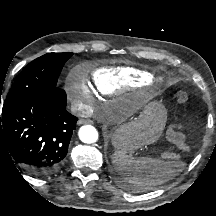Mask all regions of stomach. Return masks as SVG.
I'll return each instance as SVG.
<instances>
[{
    "label": "stomach",
    "instance_id": "obj_1",
    "mask_svg": "<svg viewBox=\"0 0 216 216\" xmlns=\"http://www.w3.org/2000/svg\"><path fill=\"white\" fill-rule=\"evenodd\" d=\"M167 110L160 101L145 104L139 118L120 125L112 134V144L124 152H132L157 141L166 124Z\"/></svg>",
    "mask_w": 216,
    "mask_h": 216
}]
</instances>
